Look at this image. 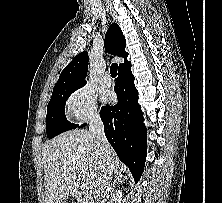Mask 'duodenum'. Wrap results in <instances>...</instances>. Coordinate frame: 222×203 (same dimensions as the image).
<instances>
[{
  "mask_svg": "<svg viewBox=\"0 0 222 203\" xmlns=\"http://www.w3.org/2000/svg\"><path fill=\"white\" fill-rule=\"evenodd\" d=\"M75 196L79 203H93L92 199L84 192H77Z\"/></svg>",
  "mask_w": 222,
  "mask_h": 203,
  "instance_id": "obj_1",
  "label": "duodenum"
}]
</instances>
